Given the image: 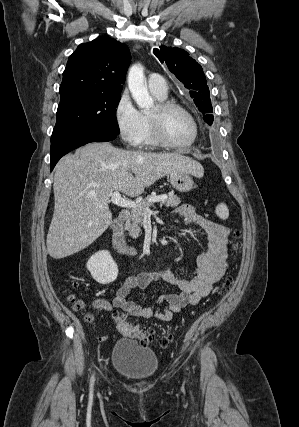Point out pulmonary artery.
I'll list each match as a JSON object with an SVG mask.
<instances>
[{"mask_svg":"<svg viewBox=\"0 0 299 427\" xmlns=\"http://www.w3.org/2000/svg\"><path fill=\"white\" fill-rule=\"evenodd\" d=\"M147 84L151 92L160 96L167 95L168 85L162 75L157 73L151 74L148 78Z\"/></svg>","mask_w":299,"mask_h":427,"instance_id":"e3ab8cb5","label":"pulmonary artery"}]
</instances>
